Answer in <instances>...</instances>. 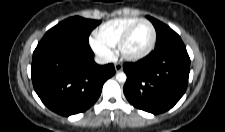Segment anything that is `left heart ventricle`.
I'll return each mask as SVG.
<instances>
[{"label":"left heart ventricle","instance_id":"1","mask_svg":"<svg viewBox=\"0 0 225 132\" xmlns=\"http://www.w3.org/2000/svg\"><path fill=\"white\" fill-rule=\"evenodd\" d=\"M151 38V27L146 23L138 24L125 45L126 52L130 54L142 52L149 45Z\"/></svg>","mask_w":225,"mask_h":132}]
</instances>
